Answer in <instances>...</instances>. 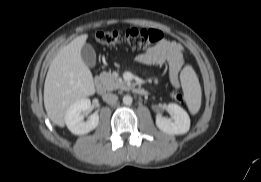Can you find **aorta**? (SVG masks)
Here are the masks:
<instances>
[{"instance_id": "aorta-1", "label": "aorta", "mask_w": 261, "mask_h": 182, "mask_svg": "<svg viewBox=\"0 0 261 182\" xmlns=\"http://www.w3.org/2000/svg\"><path fill=\"white\" fill-rule=\"evenodd\" d=\"M132 102H133V98H132L130 95H125V96L123 97V103H124L125 105H131Z\"/></svg>"}]
</instances>
